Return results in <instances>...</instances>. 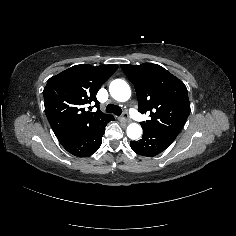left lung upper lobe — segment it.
<instances>
[{"mask_svg": "<svg viewBox=\"0 0 236 236\" xmlns=\"http://www.w3.org/2000/svg\"><path fill=\"white\" fill-rule=\"evenodd\" d=\"M121 68L135 87L139 112L150 114L141 126L179 134L190 113L185 84L156 64H123Z\"/></svg>", "mask_w": 236, "mask_h": 236, "instance_id": "5c2ea615", "label": "left lung upper lobe"}]
</instances>
